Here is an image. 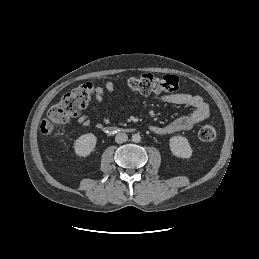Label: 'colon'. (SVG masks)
<instances>
[{
    "label": "colon",
    "instance_id": "1",
    "mask_svg": "<svg viewBox=\"0 0 259 259\" xmlns=\"http://www.w3.org/2000/svg\"><path fill=\"white\" fill-rule=\"evenodd\" d=\"M127 84L132 91L144 95L159 92L172 93L179 89V78L175 75L156 77L152 74H143L130 78ZM95 91V86L87 82L66 93L49 109L47 118L41 124V131L49 134L60 130L63 125L82 112ZM198 136L202 141H213L216 138V129L212 125H204L200 128Z\"/></svg>",
    "mask_w": 259,
    "mask_h": 259
}]
</instances>
